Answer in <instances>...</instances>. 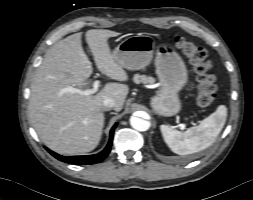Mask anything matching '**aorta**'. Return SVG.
I'll use <instances>...</instances> for the list:
<instances>
[{
    "label": "aorta",
    "instance_id": "762f6f07",
    "mask_svg": "<svg viewBox=\"0 0 253 200\" xmlns=\"http://www.w3.org/2000/svg\"><path fill=\"white\" fill-rule=\"evenodd\" d=\"M131 126L138 131H147L150 128V122L139 117L130 118Z\"/></svg>",
    "mask_w": 253,
    "mask_h": 200
}]
</instances>
